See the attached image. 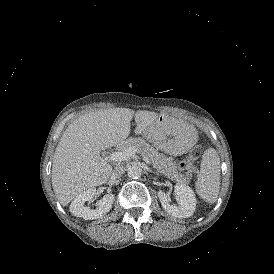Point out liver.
I'll use <instances>...</instances> for the list:
<instances>
[{
	"label": "liver",
	"instance_id": "1",
	"mask_svg": "<svg viewBox=\"0 0 274 274\" xmlns=\"http://www.w3.org/2000/svg\"><path fill=\"white\" fill-rule=\"evenodd\" d=\"M133 118L134 134L146 135L158 120V113L107 108L81 115L69 124L55 149L51 174L53 191L62 206H68L79 193L109 180L113 166L100 162V151L125 140Z\"/></svg>",
	"mask_w": 274,
	"mask_h": 274
}]
</instances>
